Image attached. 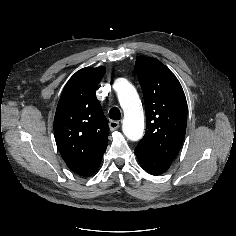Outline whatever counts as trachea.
I'll use <instances>...</instances> for the list:
<instances>
[{"instance_id":"trachea-1","label":"trachea","mask_w":236,"mask_h":236,"mask_svg":"<svg viewBox=\"0 0 236 236\" xmlns=\"http://www.w3.org/2000/svg\"><path fill=\"white\" fill-rule=\"evenodd\" d=\"M120 110L117 107H113L109 111V118L112 120H120Z\"/></svg>"}]
</instances>
